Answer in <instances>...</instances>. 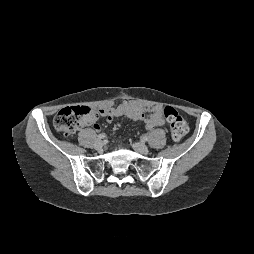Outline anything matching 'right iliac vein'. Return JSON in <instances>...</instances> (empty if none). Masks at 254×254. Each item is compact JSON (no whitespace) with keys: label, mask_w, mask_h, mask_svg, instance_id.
I'll return each mask as SVG.
<instances>
[{"label":"right iliac vein","mask_w":254,"mask_h":254,"mask_svg":"<svg viewBox=\"0 0 254 254\" xmlns=\"http://www.w3.org/2000/svg\"><path fill=\"white\" fill-rule=\"evenodd\" d=\"M103 141H101V140H98L96 143H95V148L97 149V150H100V149H102V147H103Z\"/></svg>","instance_id":"obj_1"}]
</instances>
